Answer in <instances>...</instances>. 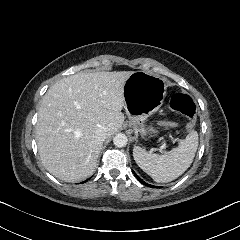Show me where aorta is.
<instances>
[{"label":"aorta","instance_id":"obj_1","mask_svg":"<svg viewBox=\"0 0 240 240\" xmlns=\"http://www.w3.org/2000/svg\"><path fill=\"white\" fill-rule=\"evenodd\" d=\"M128 139L127 136L123 133H118L114 138H113V143L115 146L118 148L124 147L127 145Z\"/></svg>","mask_w":240,"mask_h":240}]
</instances>
